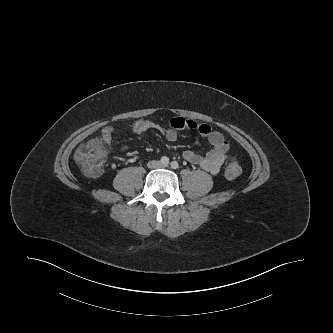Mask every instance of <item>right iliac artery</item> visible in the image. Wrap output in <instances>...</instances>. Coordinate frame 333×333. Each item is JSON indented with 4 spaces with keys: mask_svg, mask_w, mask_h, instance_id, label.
<instances>
[{
    "mask_svg": "<svg viewBox=\"0 0 333 333\" xmlns=\"http://www.w3.org/2000/svg\"><path fill=\"white\" fill-rule=\"evenodd\" d=\"M160 162H161L163 165H168V164H169V158L166 157V156H163V157L160 159Z\"/></svg>",
    "mask_w": 333,
    "mask_h": 333,
    "instance_id": "82829eb1",
    "label": "right iliac artery"
}]
</instances>
